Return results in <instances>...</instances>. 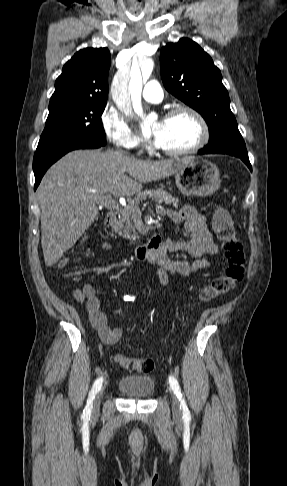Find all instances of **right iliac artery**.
<instances>
[{"label": "right iliac artery", "mask_w": 287, "mask_h": 486, "mask_svg": "<svg viewBox=\"0 0 287 486\" xmlns=\"http://www.w3.org/2000/svg\"><path fill=\"white\" fill-rule=\"evenodd\" d=\"M129 299H130L129 296L125 297V300H129ZM102 382H103V378L100 377L93 384V387L91 389V392H90L88 400H87L86 407L83 411V415L85 417H89L91 415V410H92V407H93V400L95 399V395L97 394V392L100 390V388L102 386Z\"/></svg>", "instance_id": "1"}]
</instances>
